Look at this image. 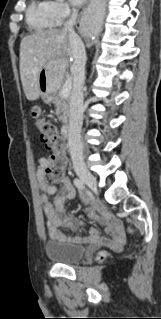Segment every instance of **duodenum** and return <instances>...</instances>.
<instances>
[{"label":"duodenum","mask_w":161,"mask_h":319,"mask_svg":"<svg viewBox=\"0 0 161 319\" xmlns=\"http://www.w3.org/2000/svg\"><path fill=\"white\" fill-rule=\"evenodd\" d=\"M62 135L64 140H66L67 142L70 141V125L68 123H65L62 126Z\"/></svg>","instance_id":"410a0bca"}]
</instances>
